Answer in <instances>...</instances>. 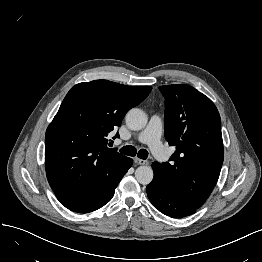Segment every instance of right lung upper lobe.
I'll return each instance as SVG.
<instances>
[{
  "instance_id": "cb5924a9",
  "label": "right lung upper lobe",
  "mask_w": 262,
  "mask_h": 262,
  "mask_svg": "<svg viewBox=\"0 0 262 262\" xmlns=\"http://www.w3.org/2000/svg\"><path fill=\"white\" fill-rule=\"evenodd\" d=\"M151 90L108 80L71 88L45 135L46 174L55 194H99L113 185L127 157L108 148L106 137Z\"/></svg>"
}]
</instances>
